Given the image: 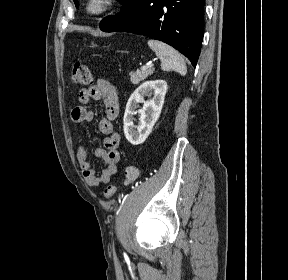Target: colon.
Here are the masks:
<instances>
[{
	"instance_id": "5ec220e1",
	"label": "colon",
	"mask_w": 288,
	"mask_h": 280,
	"mask_svg": "<svg viewBox=\"0 0 288 280\" xmlns=\"http://www.w3.org/2000/svg\"><path fill=\"white\" fill-rule=\"evenodd\" d=\"M72 80L79 85H89L93 81V71L89 65L82 64L80 62L75 63L72 71ZM139 176V171L136 166L129 165L125 169L124 185H130L134 183ZM117 191L115 185H109L104 190V196L110 199Z\"/></svg>"
}]
</instances>
